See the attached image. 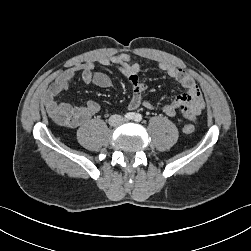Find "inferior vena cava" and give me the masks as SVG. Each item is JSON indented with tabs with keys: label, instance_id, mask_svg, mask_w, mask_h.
I'll return each instance as SVG.
<instances>
[{
	"label": "inferior vena cava",
	"instance_id": "obj_1",
	"mask_svg": "<svg viewBox=\"0 0 251 251\" xmlns=\"http://www.w3.org/2000/svg\"><path fill=\"white\" fill-rule=\"evenodd\" d=\"M123 121H124L123 117L120 116V115H117V114L112 115L109 118V124L112 125V126L120 125Z\"/></svg>",
	"mask_w": 251,
	"mask_h": 251
}]
</instances>
